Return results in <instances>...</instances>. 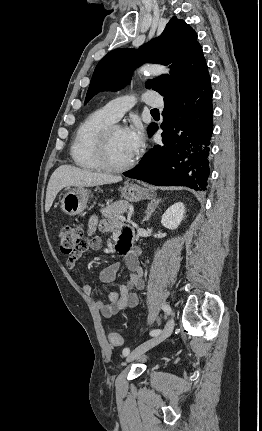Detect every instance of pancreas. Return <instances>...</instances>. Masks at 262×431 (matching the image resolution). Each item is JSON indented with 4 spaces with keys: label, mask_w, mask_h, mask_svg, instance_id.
<instances>
[{
    "label": "pancreas",
    "mask_w": 262,
    "mask_h": 431,
    "mask_svg": "<svg viewBox=\"0 0 262 431\" xmlns=\"http://www.w3.org/2000/svg\"><path fill=\"white\" fill-rule=\"evenodd\" d=\"M130 205L126 201H116L111 205L106 206L101 209V213L105 218L112 219L117 225H121L119 217L122 216Z\"/></svg>",
    "instance_id": "cf45deb5"
}]
</instances>
